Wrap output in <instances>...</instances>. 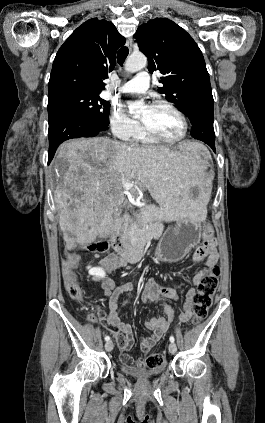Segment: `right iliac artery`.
<instances>
[{"instance_id":"right-iliac-artery-1","label":"right iliac artery","mask_w":265,"mask_h":423,"mask_svg":"<svg viewBox=\"0 0 265 423\" xmlns=\"http://www.w3.org/2000/svg\"><path fill=\"white\" fill-rule=\"evenodd\" d=\"M110 340V337L109 336H106L105 337V341H109Z\"/></svg>"}]
</instances>
